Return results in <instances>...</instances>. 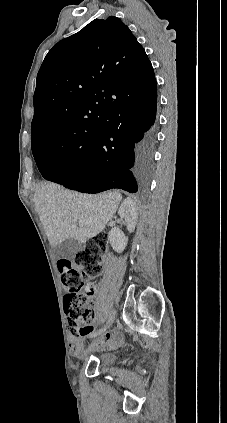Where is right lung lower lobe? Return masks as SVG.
Returning a JSON list of instances; mask_svg holds the SVG:
<instances>
[{
  "label": "right lung lower lobe",
  "mask_w": 227,
  "mask_h": 423,
  "mask_svg": "<svg viewBox=\"0 0 227 423\" xmlns=\"http://www.w3.org/2000/svg\"><path fill=\"white\" fill-rule=\"evenodd\" d=\"M157 91L130 97L108 108V123L100 130L94 148L72 172L53 182L85 193L119 188L130 193L145 188L152 170L156 132Z\"/></svg>",
  "instance_id": "98d812e1"
}]
</instances>
